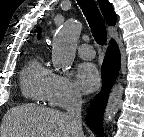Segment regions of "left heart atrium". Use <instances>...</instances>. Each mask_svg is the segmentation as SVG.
Returning a JSON list of instances; mask_svg holds the SVG:
<instances>
[{
    "label": "left heart atrium",
    "instance_id": "left-heart-atrium-1",
    "mask_svg": "<svg viewBox=\"0 0 144 137\" xmlns=\"http://www.w3.org/2000/svg\"><path fill=\"white\" fill-rule=\"evenodd\" d=\"M80 89L85 93L96 91L100 86V74L96 66L91 63L80 65L77 73Z\"/></svg>",
    "mask_w": 144,
    "mask_h": 137
}]
</instances>
